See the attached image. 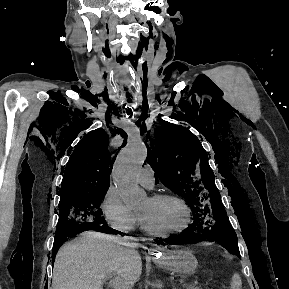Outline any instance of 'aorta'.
I'll list each match as a JSON object with an SVG mask.
<instances>
[{"instance_id": "762f6f07", "label": "aorta", "mask_w": 289, "mask_h": 289, "mask_svg": "<svg viewBox=\"0 0 289 289\" xmlns=\"http://www.w3.org/2000/svg\"><path fill=\"white\" fill-rule=\"evenodd\" d=\"M147 158L141 139L130 140L120 151L113 168V182L124 203L131 208L140 206L147 198L136 181V176Z\"/></svg>"}]
</instances>
